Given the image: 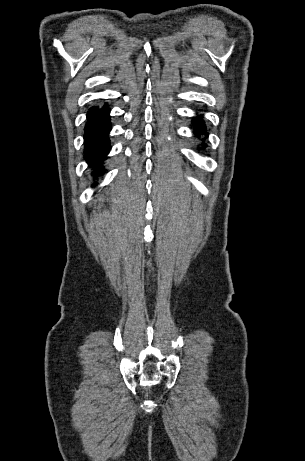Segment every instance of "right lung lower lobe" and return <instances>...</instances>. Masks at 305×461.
Here are the masks:
<instances>
[{
	"label": "right lung lower lobe",
	"instance_id": "right-lung-lower-lobe-1",
	"mask_svg": "<svg viewBox=\"0 0 305 461\" xmlns=\"http://www.w3.org/2000/svg\"><path fill=\"white\" fill-rule=\"evenodd\" d=\"M108 105L102 108L93 106L87 113V123L84 128V159L93 169L94 177L103 175L102 162L109 153L110 140L108 137L111 130Z\"/></svg>",
	"mask_w": 305,
	"mask_h": 461
}]
</instances>
